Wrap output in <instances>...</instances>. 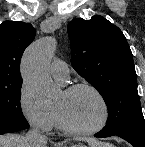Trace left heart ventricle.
<instances>
[{"label":"left heart ventricle","instance_id":"b2bd125f","mask_svg":"<svg viewBox=\"0 0 145 147\" xmlns=\"http://www.w3.org/2000/svg\"><path fill=\"white\" fill-rule=\"evenodd\" d=\"M54 108L61 112L71 126L78 129L96 126L103 116L99 100L88 89H79L71 94L62 92Z\"/></svg>","mask_w":145,"mask_h":147}]
</instances>
